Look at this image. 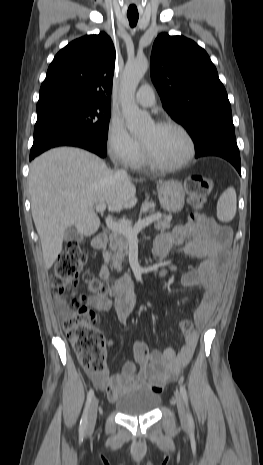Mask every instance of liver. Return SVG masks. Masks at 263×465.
Listing matches in <instances>:
<instances>
[{
	"label": "liver",
	"instance_id": "1",
	"mask_svg": "<svg viewBox=\"0 0 263 465\" xmlns=\"http://www.w3.org/2000/svg\"><path fill=\"white\" fill-rule=\"evenodd\" d=\"M29 192L46 269L57 259L71 226L85 236L99 229L95 205L105 203L119 213L137 203L130 177L118 176L98 156L73 147L49 150L32 161Z\"/></svg>",
	"mask_w": 263,
	"mask_h": 465
}]
</instances>
